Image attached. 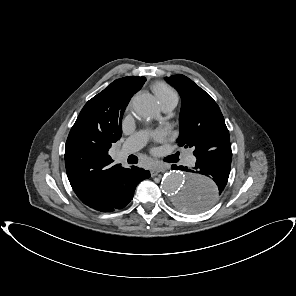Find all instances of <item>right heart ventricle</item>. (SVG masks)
<instances>
[{
	"label": "right heart ventricle",
	"instance_id": "right-heart-ventricle-1",
	"mask_svg": "<svg viewBox=\"0 0 296 296\" xmlns=\"http://www.w3.org/2000/svg\"><path fill=\"white\" fill-rule=\"evenodd\" d=\"M152 89L161 104L172 99H178L174 89L166 83H155Z\"/></svg>",
	"mask_w": 296,
	"mask_h": 296
}]
</instances>
